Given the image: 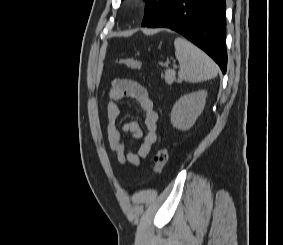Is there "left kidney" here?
<instances>
[{
	"label": "left kidney",
	"mask_w": 283,
	"mask_h": 245,
	"mask_svg": "<svg viewBox=\"0 0 283 245\" xmlns=\"http://www.w3.org/2000/svg\"><path fill=\"white\" fill-rule=\"evenodd\" d=\"M206 97L207 92L203 90L182 96L172 108V125L180 130L190 129L202 113Z\"/></svg>",
	"instance_id": "obj_1"
}]
</instances>
